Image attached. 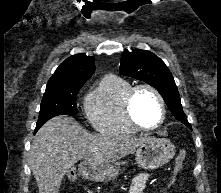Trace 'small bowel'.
<instances>
[{
  "instance_id": "small-bowel-1",
  "label": "small bowel",
  "mask_w": 221,
  "mask_h": 193,
  "mask_svg": "<svg viewBox=\"0 0 221 193\" xmlns=\"http://www.w3.org/2000/svg\"><path fill=\"white\" fill-rule=\"evenodd\" d=\"M151 177L150 173L138 174L132 182L131 193H143L144 187L148 179Z\"/></svg>"
}]
</instances>
